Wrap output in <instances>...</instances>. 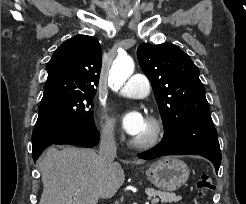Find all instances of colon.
Wrapping results in <instances>:
<instances>
[{
    "mask_svg": "<svg viewBox=\"0 0 246 204\" xmlns=\"http://www.w3.org/2000/svg\"><path fill=\"white\" fill-rule=\"evenodd\" d=\"M196 188L200 197L207 192L213 191L215 188L212 178L207 174H202L196 182Z\"/></svg>",
    "mask_w": 246,
    "mask_h": 204,
    "instance_id": "1",
    "label": "colon"
}]
</instances>
